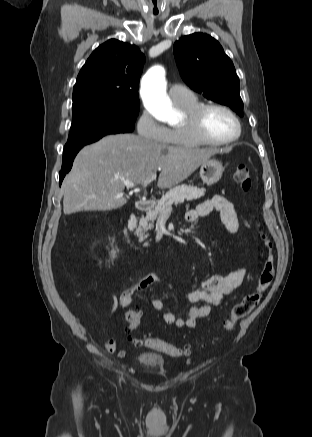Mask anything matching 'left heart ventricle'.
<instances>
[{
  "instance_id": "b2bd125f",
  "label": "left heart ventricle",
  "mask_w": 312,
  "mask_h": 437,
  "mask_svg": "<svg viewBox=\"0 0 312 437\" xmlns=\"http://www.w3.org/2000/svg\"><path fill=\"white\" fill-rule=\"evenodd\" d=\"M205 134L214 140H224L236 132L235 121L220 109L209 110L203 119Z\"/></svg>"
}]
</instances>
